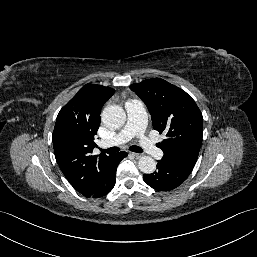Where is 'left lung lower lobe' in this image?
Masks as SVG:
<instances>
[{"mask_svg":"<svg viewBox=\"0 0 257 257\" xmlns=\"http://www.w3.org/2000/svg\"><path fill=\"white\" fill-rule=\"evenodd\" d=\"M191 172L167 161L160 160L157 170L152 174H144V181L152 188L159 191H169L183 183Z\"/></svg>","mask_w":257,"mask_h":257,"instance_id":"obj_1","label":"left lung lower lobe"}]
</instances>
